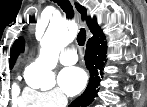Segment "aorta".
I'll return each instance as SVG.
<instances>
[{
  "mask_svg": "<svg viewBox=\"0 0 147 107\" xmlns=\"http://www.w3.org/2000/svg\"><path fill=\"white\" fill-rule=\"evenodd\" d=\"M72 38L63 21H51L43 38L38 59L28 70L34 76V85L48 90L55 85L53 69L58 63L60 49L67 46Z\"/></svg>",
  "mask_w": 147,
  "mask_h": 107,
  "instance_id": "aorta-1",
  "label": "aorta"
}]
</instances>
